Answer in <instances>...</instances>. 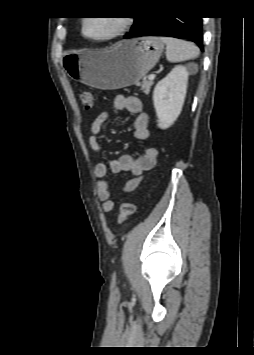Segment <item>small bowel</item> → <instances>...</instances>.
Returning a JSON list of instances; mask_svg holds the SVG:
<instances>
[{"label": "small bowel", "instance_id": "1", "mask_svg": "<svg viewBox=\"0 0 254 355\" xmlns=\"http://www.w3.org/2000/svg\"><path fill=\"white\" fill-rule=\"evenodd\" d=\"M112 106L116 110H126L136 115L133 122V129L135 137L138 140L147 141L150 138L148 128L149 115L142 111V102L138 97L118 95L113 99ZM108 118L109 114L103 112L99 114L90 125L89 146L98 154L103 152L100 135ZM157 159V150L152 146H146L141 155L134 157L130 154H123L117 159L111 160L109 168L112 172L129 171L133 174V178L127 180L122 188L124 192H132L143 182L144 173L152 170L156 166ZM107 173L108 167L106 164L98 163L95 166L94 174L99 179L97 192L104 213H109L114 208L111 185L107 179Z\"/></svg>", "mask_w": 254, "mask_h": 355}]
</instances>
